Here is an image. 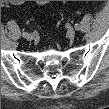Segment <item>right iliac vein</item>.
<instances>
[{"label": "right iliac vein", "instance_id": "right-iliac-vein-1", "mask_svg": "<svg viewBox=\"0 0 109 109\" xmlns=\"http://www.w3.org/2000/svg\"><path fill=\"white\" fill-rule=\"evenodd\" d=\"M28 41H32L34 39V35L32 33H28L25 37Z\"/></svg>", "mask_w": 109, "mask_h": 109}]
</instances>
